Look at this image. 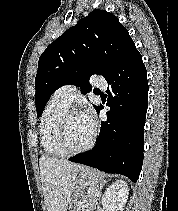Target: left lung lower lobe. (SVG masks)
Segmentation results:
<instances>
[{"instance_id": "0a47b994", "label": "left lung lower lobe", "mask_w": 178, "mask_h": 211, "mask_svg": "<svg viewBox=\"0 0 178 211\" xmlns=\"http://www.w3.org/2000/svg\"><path fill=\"white\" fill-rule=\"evenodd\" d=\"M142 56L134 46L105 79L107 120L94 149L69 161L88 165L107 173L124 175L136 182L143 163L144 125L148 108V82ZM103 106L96 111L99 113Z\"/></svg>"}]
</instances>
